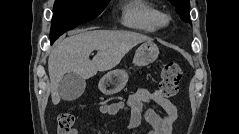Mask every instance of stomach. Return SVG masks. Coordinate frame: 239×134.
<instances>
[{
    "mask_svg": "<svg viewBox=\"0 0 239 134\" xmlns=\"http://www.w3.org/2000/svg\"><path fill=\"white\" fill-rule=\"evenodd\" d=\"M158 54L157 45L152 41H146L136 50L133 63L136 66H146L153 63L158 58ZM128 78L125 70H112L101 78L99 88L104 94H115L126 85Z\"/></svg>",
    "mask_w": 239,
    "mask_h": 134,
    "instance_id": "obj_1",
    "label": "stomach"
}]
</instances>
